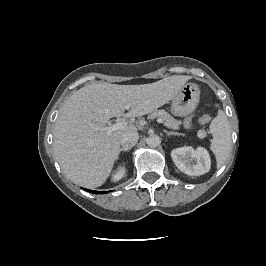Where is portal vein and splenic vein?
Returning a JSON list of instances; mask_svg holds the SVG:
<instances>
[{
  "instance_id": "18ae733b",
  "label": "portal vein and splenic vein",
  "mask_w": 266,
  "mask_h": 266,
  "mask_svg": "<svg viewBox=\"0 0 266 266\" xmlns=\"http://www.w3.org/2000/svg\"><path fill=\"white\" fill-rule=\"evenodd\" d=\"M125 109L126 110H129L130 109V105L129 104L126 105L125 106ZM157 122L163 123V120L162 119H158ZM127 126H128V123L126 121L119 120V121L115 122L112 125L109 124L108 126L101 127L100 129L106 131L107 134H110L113 131L120 130V129H124Z\"/></svg>"
}]
</instances>
